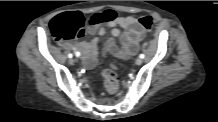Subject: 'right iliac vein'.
<instances>
[{
    "mask_svg": "<svg viewBox=\"0 0 218 122\" xmlns=\"http://www.w3.org/2000/svg\"><path fill=\"white\" fill-rule=\"evenodd\" d=\"M75 63V60L74 59H69V64L73 65Z\"/></svg>",
    "mask_w": 218,
    "mask_h": 122,
    "instance_id": "63e3f726",
    "label": "right iliac vein"
}]
</instances>
